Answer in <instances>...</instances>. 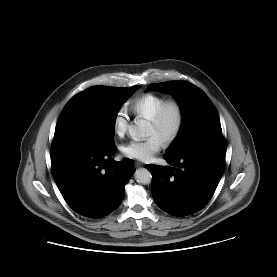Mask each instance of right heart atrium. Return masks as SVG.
<instances>
[{
    "mask_svg": "<svg viewBox=\"0 0 277 277\" xmlns=\"http://www.w3.org/2000/svg\"><path fill=\"white\" fill-rule=\"evenodd\" d=\"M129 119L125 110L120 109L113 117V130L116 135L124 136L128 130Z\"/></svg>",
    "mask_w": 277,
    "mask_h": 277,
    "instance_id": "obj_1",
    "label": "right heart atrium"
}]
</instances>
